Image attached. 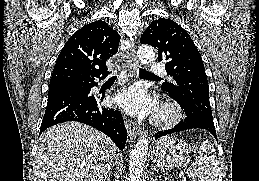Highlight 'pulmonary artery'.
<instances>
[{
	"label": "pulmonary artery",
	"mask_w": 259,
	"mask_h": 181,
	"mask_svg": "<svg viewBox=\"0 0 259 181\" xmlns=\"http://www.w3.org/2000/svg\"><path fill=\"white\" fill-rule=\"evenodd\" d=\"M150 71H151V73H153V74H165V73H166L164 66H162V65H156V64H152V65L150 66Z\"/></svg>",
	"instance_id": "1"
}]
</instances>
